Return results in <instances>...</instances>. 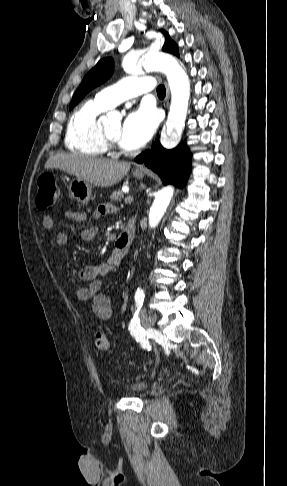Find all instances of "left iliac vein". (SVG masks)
I'll list each match as a JSON object with an SVG mask.
<instances>
[{
    "instance_id": "1",
    "label": "left iliac vein",
    "mask_w": 287,
    "mask_h": 486,
    "mask_svg": "<svg viewBox=\"0 0 287 486\" xmlns=\"http://www.w3.org/2000/svg\"><path fill=\"white\" fill-rule=\"evenodd\" d=\"M140 318H141V323L143 325L144 328L148 329V330H152L153 331V334L156 336V337H159V338H164V335L158 331V330H153V326L155 324V318L148 314L145 310H141L140 312Z\"/></svg>"
}]
</instances>
